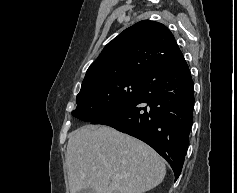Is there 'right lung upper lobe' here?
<instances>
[{
  "instance_id": "1",
  "label": "right lung upper lobe",
  "mask_w": 237,
  "mask_h": 193,
  "mask_svg": "<svg viewBox=\"0 0 237 193\" xmlns=\"http://www.w3.org/2000/svg\"><path fill=\"white\" fill-rule=\"evenodd\" d=\"M170 30L143 20L109 42L88 68L82 87L123 76H145L160 60L179 51Z\"/></svg>"
}]
</instances>
